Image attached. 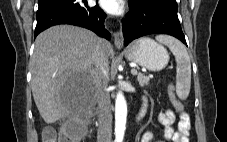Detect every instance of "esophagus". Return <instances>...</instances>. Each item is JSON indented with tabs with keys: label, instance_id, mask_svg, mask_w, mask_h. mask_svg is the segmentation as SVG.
<instances>
[{
	"label": "esophagus",
	"instance_id": "obj_1",
	"mask_svg": "<svg viewBox=\"0 0 227 142\" xmlns=\"http://www.w3.org/2000/svg\"><path fill=\"white\" fill-rule=\"evenodd\" d=\"M114 36V44L117 48L123 47V35L120 31H117L113 34Z\"/></svg>",
	"mask_w": 227,
	"mask_h": 142
}]
</instances>
